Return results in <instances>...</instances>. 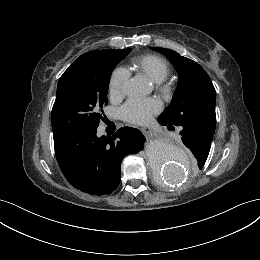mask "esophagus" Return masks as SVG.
<instances>
[{
  "label": "esophagus",
  "mask_w": 260,
  "mask_h": 260,
  "mask_svg": "<svg viewBox=\"0 0 260 260\" xmlns=\"http://www.w3.org/2000/svg\"><path fill=\"white\" fill-rule=\"evenodd\" d=\"M141 131L146 135V136H151L153 134L152 130L148 126H143L141 128Z\"/></svg>",
  "instance_id": "esophagus-1"
}]
</instances>
